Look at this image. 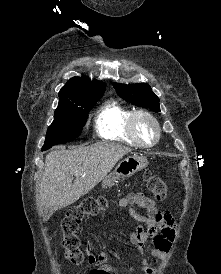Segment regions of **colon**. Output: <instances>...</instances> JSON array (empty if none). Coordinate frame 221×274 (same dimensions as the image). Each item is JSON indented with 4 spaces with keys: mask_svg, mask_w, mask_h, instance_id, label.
<instances>
[{
    "mask_svg": "<svg viewBox=\"0 0 221 274\" xmlns=\"http://www.w3.org/2000/svg\"><path fill=\"white\" fill-rule=\"evenodd\" d=\"M143 180L150 193L157 201H162L166 197L167 185L165 181L152 172H145ZM108 205L106 197H89L84 199L79 205L72 207L65 215L61 223L63 233V246L66 258L74 265H79L84 261V253L81 250L78 230L85 217L96 215L103 211Z\"/></svg>",
    "mask_w": 221,
    "mask_h": 274,
    "instance_id": "1",
    "label": "colon"
}]
</instances>
